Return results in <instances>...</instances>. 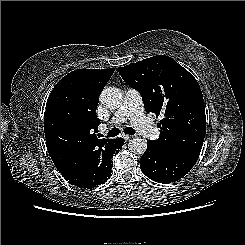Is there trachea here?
Returning <instances> with one entry per match:
<instances>
[{
  "mask_svg": "<svg viewBox=\"0 0 245 245\" xmlns=\"http://www.w3.org/2000/svg\"><path fill=\"white\" fill-rule=\"evenodd\" d=\"M125 134H129V135H132L135 133V130L131 127H126L123 131ZM120 131L118 128H112L108 133H107V136L108 137H115L117 135H119ZM99 137H103L102 134H98Z\"/></svg>",
  "mask_w": 245,
  "mask_h": 245,
  "instance_id": "3493384b",
  "label": "trachea"
}]
</instances>
